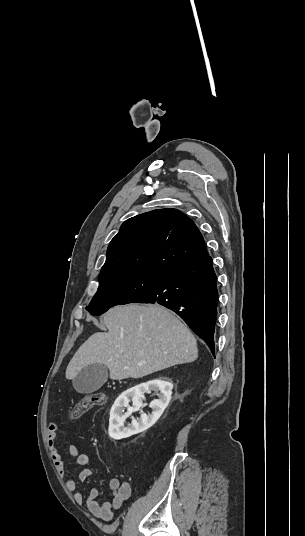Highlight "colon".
<instances>
[{"mask_svg": "<svg viewBox=\"0 0 305 536\" xmlns=\"http://www.w3.org/2000/svg\"><path fill=\"white\" fill-rule=\"evenodd\" d=\"M106 402V395L103 392H94L79 399L71 408L69 416L73 420L81 418L94 406L102 405Z\"/></svg>", "mask_w": 305, "mask_h": 536, "instance_id": "obj_1", "label": "colon"}]
</instances>
